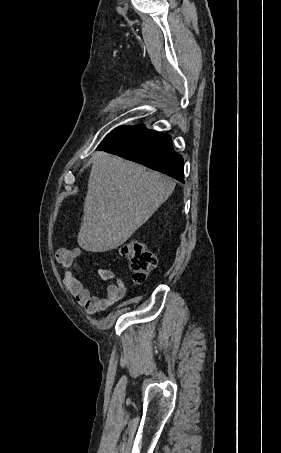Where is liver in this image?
<instances>
[{
	"label": "liver",
	"instance_id": "liver-1",
	"mask_svg": "<svg viewBox=\"0 0 281 453\" xmlns=\"http://www.w3.org/2000/svg\"><path fill=\"white\" fill-rule=\"evenodd\" d=\"M175 182L108 152H95L77 243L104 253L130 239L169 198Z\"/></svg>",
	"mask_w": 281,
	"mask_h": 453
}]
</instances>
